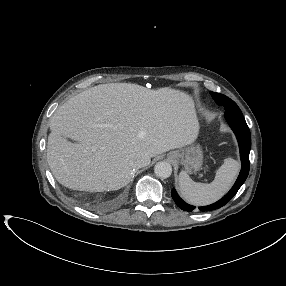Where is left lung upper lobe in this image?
<instances>
[{
  "label": "left lung upper lobe",
  "instance_id": "obj_1",
  "mask_svg": "<svg viewBox=\"0 0 286 286\" xmlns=\"http://www.w3.org/2000/svg\"><path fill=\"white\" fill-rule=\"evenodd\" d=\"M210 94L218 105L225 107V113L242 114L237 104L227 96L212 91H210Z\"/></svg>",
  "mask_w": 286,
  "mask_h": 286
}]
</instances>
